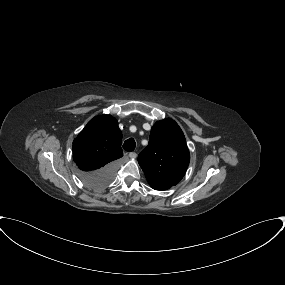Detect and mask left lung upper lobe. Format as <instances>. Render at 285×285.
<instances>
[{"label":"left lung upper lobe","mask_w":285,"mask_h":285,"mask_svg":"<svg viewBox=\"0 0 285 285\" xmlns=\"http://www.w3.org/2000/svg\"><path fill=\"white\" fill-rule=\"evenodd\" d=\"M189 161L185 136L172 119H164L152 127L149 144L138 156V163L155 190H167L179 183Z\"/></svg>","instance_id":"obj_1"}]
</instances>
